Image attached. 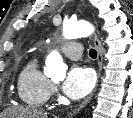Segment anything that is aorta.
Wrapping results in <instances>:
<instances>
[{"label": "aorta", "instance_id": "762f6f07", "mask_svg": "<svg viewBox=\"0 0 133 118\" xmlns=\"http://www.w3.org/2000/svg\"><path fill=\"white\" fill-rule=\"evenodd\" d=\"M94 31L89 22H66L63 25V37L65 39H77L87 37ZM67 66L57 51L51 52L46 59L45 73L56 79H64Z\"/></svg>", "mask_w": 133, "mask_h": 118}]
</instances>
